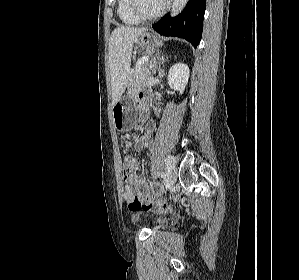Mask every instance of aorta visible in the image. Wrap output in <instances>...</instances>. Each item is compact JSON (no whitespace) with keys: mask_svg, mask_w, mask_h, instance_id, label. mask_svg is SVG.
<instances>
[{"mask_svg":"<svg viewBox=\"0 0 299 280\" xmlns=\"http://www.w3.org/2000/svg\"><path fill=\"white\" fill-rule=\"evenodd\" d=\"M189 0H173L171 6V15L176 16L185 8Z\"/></svg>","mask_w":299,"mask_h":280,"instance_id":"1","label":"aorta"}]
</instances>
